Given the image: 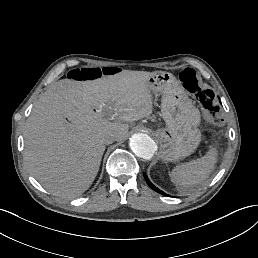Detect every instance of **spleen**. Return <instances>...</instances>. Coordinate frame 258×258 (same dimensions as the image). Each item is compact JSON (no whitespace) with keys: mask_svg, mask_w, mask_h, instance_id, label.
<instances>
[{"mask_svg":"<svg viewBox=\"0 0 258 258\" xmlns=\"http://www.w3.org/2000/svg\"><path fill=\"white\" fill-rule=\"evenodd\" d=\"M216 157L217 152L212 148L205 156L177 166L171 172V181L180 192L193 191L209 177L214 169Z\"/></svg>","mask_w":258,"mask_h":258,"instance_id":"1","label":"spleen"}]
</instances>
